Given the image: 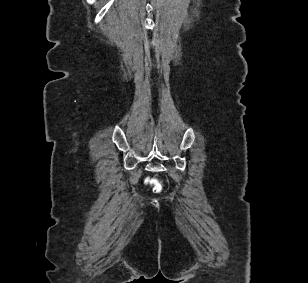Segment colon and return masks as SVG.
I'll list each match as a JSON object with an SVG mask.
<instances>
[{
    "instance_id": "obj_1",
    "label": "colon",
    "mask_w": 308,
    "mask_h": 283,
    "mask_svg": "<svg viewBox=\"0 0 308 283\" xmlns=\"http://www.w3.org/2000/svg\"><path fill=\"white\" fill-rule=\"evenodd\" d=\"M149 183L153 185L154 189L159 190L160 185L155 180H149Z\"/></svg>"
}]
</instances>
